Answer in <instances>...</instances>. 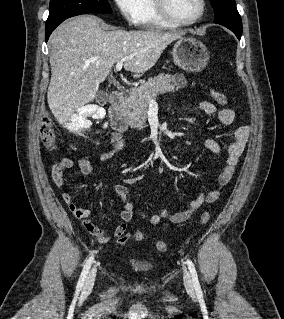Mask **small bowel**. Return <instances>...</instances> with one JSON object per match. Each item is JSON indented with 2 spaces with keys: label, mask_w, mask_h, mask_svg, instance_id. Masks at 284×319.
<instances>
[{
  "label": "small bowel",
  "mask_w": 284,
  "mask_h": 319,
  "mask_svg": "<svg viewBox=\"0 0 284 319\" xmlns=\"http://www.w3.org/2000/svg\"><path fill=\"white\" fill-rule=\"evenodd\" d=\"M198 110L208 114L216 115L219 121L224 125H231L235 120V112L231 109H217V107L209 102H200L197 106ZM249 135V128L247 126L238 127L233 134V139L226 152H222L220 145L212 140L207 139L205 141V147L223 156L224 166L221 169L217 178V185L209 192H201L198 196L190 202V204L179 210L171 211L169 209H162L158 213H143L140 215L146 219L151 225L159 224L163 219H166L172 223H181L188 220L195 212H197L204 203L215 202L221 195L222 189L230 182L233 177L235 166L238 163L240 156L242 155ZM111 147L103 153V159L111 158L115 153L120 151L125 142L122 140L119 133L115 132L110 135ZM74 166V161L66 156L60 157L58 162L53 165L51 175L54 183L57 187L63 188L64 180L63 174L66 170ZM78 166L80 171L87 177L93 178L95 176L92 164L90 162V155L85 154L78 160ZM115 192L123 204V210L121 212V223L116 227L113 235L107 234L104 230L97 227L90 219V211L78 207L73 202L72 196L69 192H63L62 199L68 206L72 214L82 222L85 230L92 235L97 241L104 243L111 237H122L126 231L128 223L131 221L135 208L132 202L128 198V188L125 185H116Z\"/></svg>",
  "instance_id": "1"
}]
</instances>
